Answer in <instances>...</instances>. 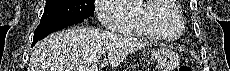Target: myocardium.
Wrapping results in <instances>:
<instances>
[{
    "mask_svg": "<svg viewBox=\"0 0 230 71\" xmlns=\"http://www.w3.org/2000/svg\"><path fill=\"white\" fill-rule=\"evenodd\" d=\"M159 2H172V1H175V0H157Z\"/></svg>",
    "mask_w": 230,
    "mask_h": 71,
    "instance_id": "obj_1",
    "label": "myocardium"
}]
</instances>
